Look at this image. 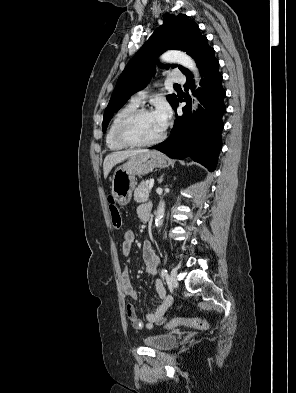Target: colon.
<instances>
[{"label":"colon","instance_id":"1","mask_svg":"<svg viewBox=\"0 0 296 393\" xmlns=\"http://www.w3.org/2000/svg\"><path fill=\"white\" fill-rule=\"evenodd\" d=\"M109 202V211H110V216H111V222L114 228L119 229L122 226V218L121 214L119 212V209L114 201V199L110 196L108 198ZM185 325V326H190L194 328H199V329H207L208 328V322L203 319H180L176 318L171 320L167 327L170 329H174L178 326Z\"/></svg>","mask_w":296,"mask_h":393}]
</instances>
